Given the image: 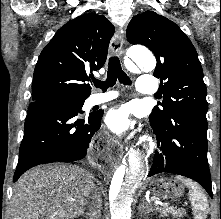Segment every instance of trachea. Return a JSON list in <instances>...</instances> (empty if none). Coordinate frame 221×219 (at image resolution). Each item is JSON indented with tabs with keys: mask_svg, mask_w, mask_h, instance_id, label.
I'll use <instances>...</instances> for the list:
<instances>
[{
	"mask_svg": "<svg viewBox=\"0 0 221 219\" xmlns=\"http://www.w3.org/2000/svg\"><path fill=\"white\" fill-rule=\"evenodd\" d=\"M117 79L124 85L132 84L127 74L122 70L119 58L113 56L109 59L106 81L94 80L93 82L96 87L106 91L107 88L115 85Z\"/></svg>",
	"mask_w": 221,
	"mask_h": 219,
	"instance_id": "1",
	"label": "trachea"
}]
</instances>
